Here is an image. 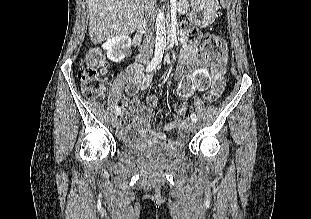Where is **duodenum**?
<instances>
[{"label":"duodenum","instance_id":"duodenum-1","mask_svg":"<svg viewBox=\"0 0 311 219\" xmlns=\"http://www.w3.org/2000/svg\"><path fill=\"white\" fill-rule=\"evenodd\" d=\"M140 42H141V35L138 34V35L135 37V39H134V41H133V44H134L135 46H138V45L140 44Z\"/></svg>","mask_w":311,"mask_h":219}]
</instances>
